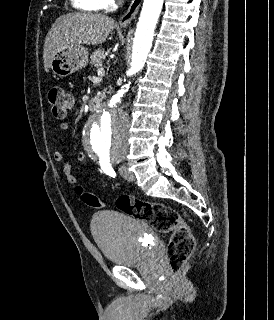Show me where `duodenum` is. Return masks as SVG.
Returning <instances> with one entry per match:
<instances>
[{
  "instance_id": "410a0bca",
  "label": "duodenum",
  "mask_w": 274,
  "mask_h": 320,
  "mask_svg": "<svg viewBox=\"0 0 274 320\" xmlns=\"http://www.w3.org/2000/svg\"><path fill=\"white\" fill-rule=\"evenodd\" d=\"M89 107L92 109V110H99L101 109L102 107V101L100 98L98 97H94L90 100L89 102Z\"/></svg>"
}]
</instances>
